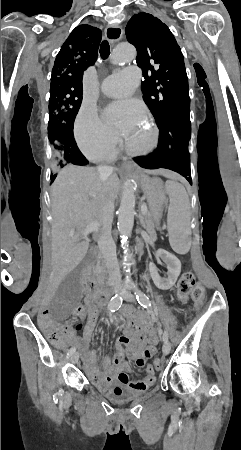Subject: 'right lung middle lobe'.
<instances>
[{"label":"right lung middle lobe","instance_id":"1","mask_svg":"<svg viewBox=\"0 0 241 450\" xmlns=\"http://www.w3.org/2000/svg\"><path fill=\"white\" fill-rule=\"evenodd\" d=\"M83 89L60 84L50 87L48 136L55 171L69 162L64 135H73V124L82 102Z\"/></svg>","mask_w":241,"mask_h":450}]
</instances>
